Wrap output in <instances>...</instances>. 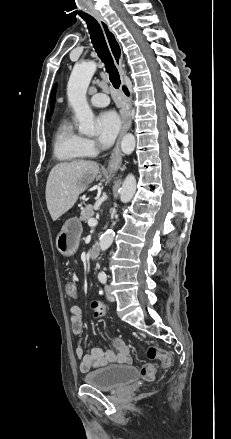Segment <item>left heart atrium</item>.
Returning a JSON list of instances; mask_svg holds the SVG:
<instances>
[{"instance_id": "left-heart-atrium-1", "label": "left heart atrium", "mask_w": 231, "mask_h": 439, "mask_svg": "<svg viewBox=\"0 0 231 439\" xmlns=\"http://www.w3.org/2000/svg\"><path fill=\"white\" fill-rule=\"evenodd\" d=\"M96 127L100 144L107 148L113 144L117 137L121 127V121L114 111H105L97 117Z\"/></svg>"}]
</instances>
